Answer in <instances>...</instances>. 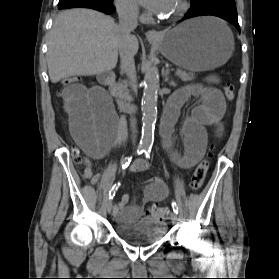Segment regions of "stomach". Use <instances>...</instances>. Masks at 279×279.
I'll return each instance as SVG.
<instances>
[{"instance_id":"stomach-1","label":"stomach","mask_w":279,"mask_h":279,"mask_svg":"<svg viewBox=\"0 0 279 279\" xmlns=\"http://www.w3.org/2000/svg\"><path fill=\"white\" fill-rule=\"evenodd\" d=\"M162 54L189 71H205L227 62L234 49L230 29L211 17L190 20L165 31L158 43Z\"/></svg>"}]
</instances>
